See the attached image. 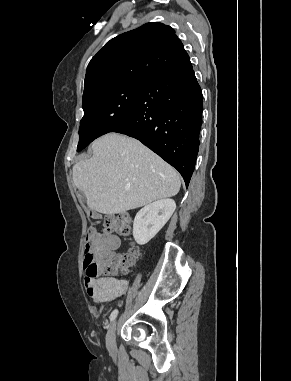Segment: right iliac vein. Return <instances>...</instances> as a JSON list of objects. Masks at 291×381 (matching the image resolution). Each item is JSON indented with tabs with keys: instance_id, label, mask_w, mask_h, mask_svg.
Segmentation results:
<instances>
[{
	"instance_id": "1",
	"label": "right iliac vein",
	"mask_w": 291,
	"mask_h": 381,
	"mask_svg": "<svg viewBox=\"0 0 291 381\" xmlns=\"http://www.w3.org/2000/svg\"><path fill=\"white\" fill-rule=\"evenodd\" d=\"M116 327L117 321H113L108 332H107V345L109 348H114L115 346V337H116Z\"/></svg>"
}]
</instances>
